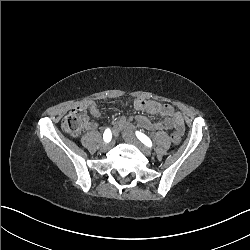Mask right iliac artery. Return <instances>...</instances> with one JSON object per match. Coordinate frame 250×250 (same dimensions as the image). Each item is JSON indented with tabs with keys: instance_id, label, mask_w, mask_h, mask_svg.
<instances>
[{
	"instance_id": "right-iliac-artery-1",
	"label": "right iliac artery",
	"mask_w": 250,
	"mask_h": 250,
	"mask_svg": "<svg viewBox=\"0 0 250 250\" xmlns=\"http://www.w3.org/2000/svg\"><path fill=\"white\" fill-rule=\"evenodd\" d=\"M103 139L107 143H109L111 141L112 133H111V130L109 128L105 130V132L103 134Z\"/></svg>"
}]
</instances>
